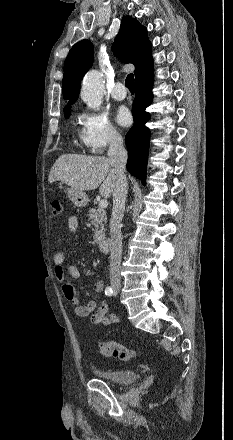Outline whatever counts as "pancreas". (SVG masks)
<instances>
[{
    "label": "pancreas",
    "mask_w": 233,
    "mask_h": 440,
    "mask_svg": "<svg viewBox=\"0 0 233 440\" xmlns=\"http://www.w3.org/2000/svg\"><path fill=\"white\" fill-rule=\"evenodd\" d=\"M91 224L95 227L94 241L100 243L105 239L106 211L103 208H92L88 213Z\"/></svg>",
    "instance_id": "pancreas-1"
}]
</instances>
